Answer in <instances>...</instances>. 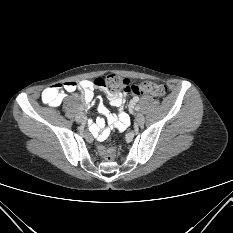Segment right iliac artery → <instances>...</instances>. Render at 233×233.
Segmentation results:
<instances>
[{"mask_svg": "<svg viewBox=\"0 0 233 233\" xmlns=\"http://www.w3.org/2000/svg\"><path fill=\"white\" fill-rule=\"evenodd\" d=\"M80 109H81V110H83L84 108H83V107H81Z\"/></svg>", "mask_w": 233, "mask_h": 233, "instance_id": "right-iliac-artery-1", "label": "right iliac artery"}]
</instances>
